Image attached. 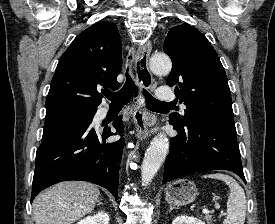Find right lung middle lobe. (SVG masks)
Here are the masks:
<instances>
[{
    "label": "right lung middle lobe",
    "instance_id": "obj_1",
    "mask_svg": "<svg viewBox=\"0 0 275 224\" xmlns=\"http://www.w3.org/2000/svg\"><path fill=\"white\" fill-rule=\"evenodd\" d=\"M96 109L63 108L46 113L45 122L57 119H78L88 121L93 119Z\"/></svg>",
    "mask_w": 275,
    "mask_h": 224
}]
</instances>
